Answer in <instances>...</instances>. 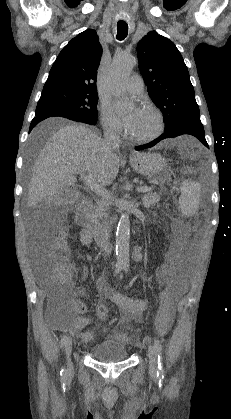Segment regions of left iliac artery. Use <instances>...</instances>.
I'll use <instances>...</instances> for the list:
<instances>
[{"label": "left iliac artery", "instance_id": "1", "mask_svg": "<svg viewBox=\"0 0 231 419\" xmlns=\"http://www.w3.org/2000/svg\"><path fill=\"white\" fill-rule=\"evenodd\" d=\"M125 271H128V265L124 266ZM154 346L155 349L157 351V355H158V371H157V375L158 376H164V368H163V356H162V345L160 343V341L158 339L154 340Z\"/></svg>", "mask_w": 231, "mask_h": 419}]
</instances>
